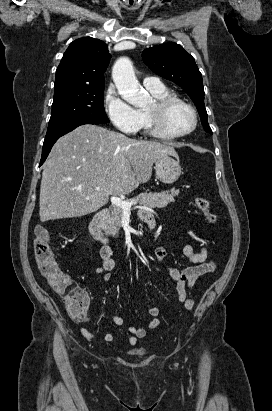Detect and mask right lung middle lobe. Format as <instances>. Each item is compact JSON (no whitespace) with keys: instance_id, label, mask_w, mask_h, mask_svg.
<instances>
[{"instance_id":"dd1d6c3e","label":"right lung middle lobe","mask_w":272,"mask_h":411,"mask_svg":"<svg viewBox=\"0 0 272 411\" xmlns=\"http://www.w3.org/2000/svg\"><path fill=\"white\" fill-rule=\"evenodd\" d=\"M103 92L104 85L55 92L46 135L83 120L108 123L109 119L104 110Z\"/></svg>"}]
</instances>
